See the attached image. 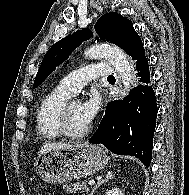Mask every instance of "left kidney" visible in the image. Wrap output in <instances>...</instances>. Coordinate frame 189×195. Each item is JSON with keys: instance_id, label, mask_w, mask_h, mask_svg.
<instances>
[{"instance_id": "1", "label": "left kidney", "mask_w": 189, "mask_h": 195, "mask_svg": "<svg viewBox=\"0 0 189 195\" xmlns=\"http://www.w3.org/2000/svg\"><path fill=\"white\" fill-rule=\"evenodd\" d=\"M107 195H124L119 188H114L107 192Z\"/></svg>"}]
</instances>
